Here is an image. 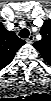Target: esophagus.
<instances>
[{
  "instance_id": "34e87169",
  "label": "esophagus",
  "mask_w": 51,
  "mask_h": 101,
  "mask_svg": "<svg viewBox=\"0 0 51 101\" xmlns=\"http://www.w3.org/2000/svg\"><path fill=\"white\" fill-rule=\"evenodd\" d=\"M27 43L32 44L34 42V36L30 35L27 39H26Z\"/></svg>"
}]
</instances>
